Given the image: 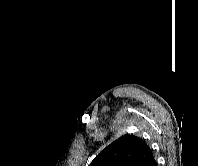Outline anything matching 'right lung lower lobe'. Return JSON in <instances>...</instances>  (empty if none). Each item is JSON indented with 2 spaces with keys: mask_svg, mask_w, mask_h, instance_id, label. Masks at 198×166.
<instances>
[{
  "mask_svg": "<svg viewBox=\"0 0 198 166\" xmlns=\"http://www.w3.org/2000/svg\"><path fill=\"white\" fill-rule=\"evenodd\" d=\"M150 166H157L156 161L154 160V161L150 164Z\"/></svg>",
  "mask_w": 198,
  "mask_h": 166,
  "instance_id": "right-lung-lower-lobe-1",
  "label": "right lung lower lobe"
}]
</instances>
